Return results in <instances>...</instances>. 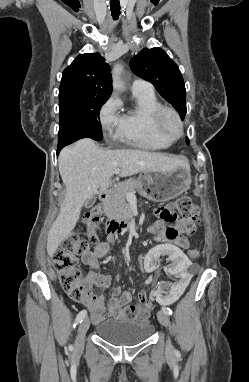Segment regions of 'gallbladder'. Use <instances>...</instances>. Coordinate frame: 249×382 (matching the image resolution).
Listing matches in <instances>:
<instances>
[{
  "label": "gallbladder",
  "mask_w": 249,
  "mask_h": 382,
  "mask_svg": "<svg viewBox=\"0 0 249 382\" xmlns=\"http://www.w3.org/2000/svg\"><path fill=\"white\" fill-rule=\"evenodd\" d=\"M95 202H96V198H95V197H92V198L86 200V202L84 203V207H85L86 209H89V208L93 207V205L95 204Z\"/></svg>",
  "instance_id": "bac80fb5"
}]
</instances>
